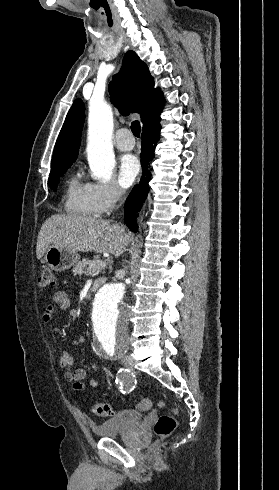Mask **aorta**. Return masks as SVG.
Segmentation results:
<instances>
[{"label": "aorta", "instance_id": "aorta-1", "mask_svg": "<svg viewBox=\"0 0 279 490\" xmlns=\"http://www.w3.org/2000/svg\"><path fill=\"white\" fill-rule=\"evenodd\" d=\"M112 133L111 107L104 102L92 104L88 118V162L93 176L104 182L111 179L115 166ZM124 293L122 283H110L103 285L94 296L91 312L93 339L104 350L127 342L128 315L122 303Z\"/></svg>", "mask_w": 279, "mask_h": 490}]
</instances>
